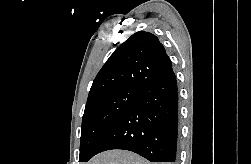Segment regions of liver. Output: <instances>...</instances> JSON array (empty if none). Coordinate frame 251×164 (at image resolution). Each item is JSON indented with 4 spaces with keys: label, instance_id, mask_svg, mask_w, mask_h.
Segmentation results:
<instances>
[{
    "label": "liver",
    "instance_id": "obj_1",
    "mask_svg": "<svg viewBox=\"0 0 251 164\" xmlns=\"http://www.w3.org/2000/svg\"><path fill=\"white\" fill-rule=\"evenodd\" d=\"M87 164H150L139 155L123 150H111L96 155Z\"/></svg>",
    "mask_w": 251,
    "mask_h": 164
}]
</instances>
